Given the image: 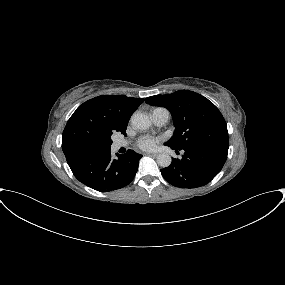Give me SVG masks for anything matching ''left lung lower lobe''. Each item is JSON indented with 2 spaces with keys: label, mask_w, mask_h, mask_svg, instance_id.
<instances>
[{
  "label": "left lung lower lobe",
  "mask_w": 285,
  "mask_h": 285,
  "mask_svg": "<svg viewBox=\"0 0 285 285\" xmlns=\"http://www.w3.org/2000/svg\"><path fill=\"white\" fill-rule=\"evenodd\" d=\"M182 151V159H173L171 165L161 169L164 179L179 188H197L209 183L221 171L228 154V151L215 147Z\"/></svg>",
  "instance_id": "0a47b994"
}]
</instances>
